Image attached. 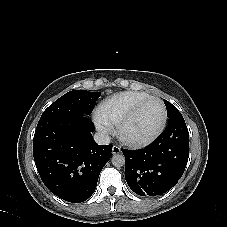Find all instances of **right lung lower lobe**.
Masks as SVG:
<instances>
[{"label": "right lung lower lobe", "mask_w": 227, "mask_h": 227, "mask_svg": "<svg viewBox=\"0 0 227 227\" xmlns=\"http://www.w3.org/2000/svg\"><path fill=\"white\" fill-rule=\"evenodd\" d=\"M86 117L41 118L33 139L34 161L45 186L59 198L80 203L94 193L112 145H98Z\"/></svg>", "instance_id": "98d812e1"}]
</instances>
